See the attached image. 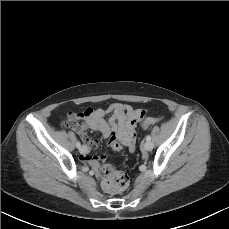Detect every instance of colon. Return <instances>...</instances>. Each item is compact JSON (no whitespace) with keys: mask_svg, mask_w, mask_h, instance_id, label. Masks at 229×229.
<instances>
[{"mask_svg":"<svg viewBox=\"0 0 229 229\" xmlns=\"http://www.w3.org/2000/svg\"><path fill=\"white\" fill-rule=\"evenodd\" d=\"M146 111L140 110L139 118L143 119L142 125L144 127L151 126L158 122L159 118L148 117L145 118ZM115 139V136H111V141ZM101 182L104 190L110 194H118L125 190L129 184V177L126 173L113 169L110 166H106L101 174Z\"/></svg>","mask_w":229,"mask_h":229,"instance_id":"colon-1","label":"colon"}]
</instances>
